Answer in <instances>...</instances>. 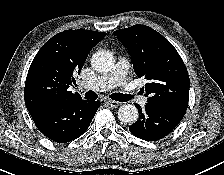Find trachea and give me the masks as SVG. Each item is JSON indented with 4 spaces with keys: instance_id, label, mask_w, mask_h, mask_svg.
Returning <instances> with one entry per match:
<instances>
[{
    "instance_id": "obj_1",
    "label": "trachea",
    "mask_w": 224,
    "mask_h": 175,
    "mask_svg": "<svg viewBox=\"0 0 224 175\" xmlns=\"http://www.w3.org/2000/svg\"><path fill=\"white\" fill-rule=\"evenodd\" d=\"M84 98L89 100H95L97 98V94L93 91H88L84 94ZM110 98L115 101L127 102L131 100L132 95L122 94V93H113L110 95Z\"/></svg>"
}]
</instances>
